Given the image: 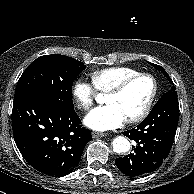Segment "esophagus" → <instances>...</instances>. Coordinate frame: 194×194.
<instances>
[{
  "label": "esophagus",
  "instance_id": "1",
  "mask_svg": "<svg viewBox=\"0 0 194 194\" xmlns=\"http://www.w3.org/2000/svg\"><path fill=\"white\" fill-rule=\"evenodd\" d=\"M106 135L107 133H103V132H92L93 138L105 137Z\"/></svg>",
  "mask_w": 194,
  "mask_h": 194
}]
</instances>
